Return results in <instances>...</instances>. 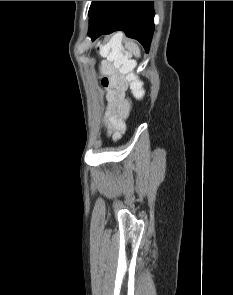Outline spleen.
I'll return each mask as SVG.
<instances>
[{"instance_id": "1", "label": "spleen", "mask_w": 233, "mask_h": 295, "mask_svg": "<svg viewBox=\"0 0 233 295\" xmlns=\"http://www.w3.org/2000/svg\"><path fill=\"white\" fill-rule=\"evenodd\" d=\"M125 47L127 52H124L122 48V35L116 34L102 47L101 55L107 57L109 61H113L114 65L118 67L126 63L129 54L140 57V49L136 43L130 41Z\"/></svg>"}]
</instances>
